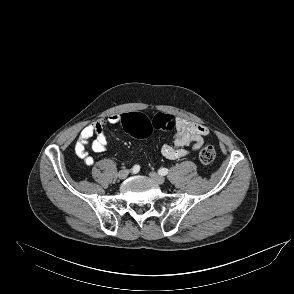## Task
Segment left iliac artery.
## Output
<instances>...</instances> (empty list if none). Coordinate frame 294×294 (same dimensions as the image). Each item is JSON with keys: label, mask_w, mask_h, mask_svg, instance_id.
I'll list each match as a JSON object with an SVG mask.
<instances>
[{"label": "left iliac artery", "mask_w": 294, "mask_h": 294, "mask_svg": "<svg viewBox=\"0 0 294 294\" xmlns=\"http://www.w3.org/2000/svg\"><path fill=\"white\" fill-rule=\"evenodd\" d=\"M158 173H159L160 175H162V176H165V175L168 173V169H166V168H160V169L158 170Z\"/></svg>", "instance_id": "44dca946"}]
</instances>
